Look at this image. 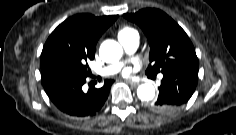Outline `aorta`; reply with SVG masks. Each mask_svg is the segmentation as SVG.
<instances>
[{"instance_id":"762f6f07","label":"aorta","mask_w":236,"mask_h":135,"mask_svg":"<svg viewBox=\"0 0 236 135\" xmlns=\"http://www.w3.org/2000/svg\"><path fill=\"white\" fill-rule=\"evenodd\" d=\"M123 54L121 45L114 40H105L99 48V55L104 62L113 63L120 60ZM137 96L142 101H151L155 97V88L152 84H141L137 89Z\"/></svg>"}]
</instances>
